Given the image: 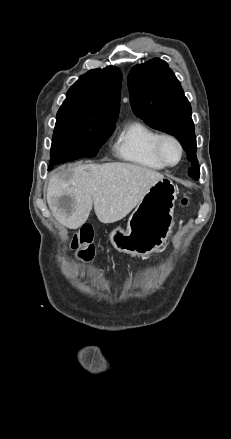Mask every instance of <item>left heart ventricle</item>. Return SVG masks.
<instances>
[{"instance_id":"1","label":"left heart ventricle","mask_w":231,"mask_h":439,"mask_svg":"<svg viewBox=\"0 0 231 439\" xmlns=\"http://www.w3.org/2000/svg\"><path fill=\"white\" fill-rule=\"evenodd\" d=\"M162 151L170 163H175L179 159V149L177 145L171 140H165L162 144Z\"/></svg>"}]
</instances>
